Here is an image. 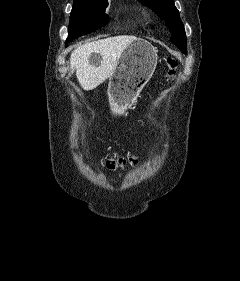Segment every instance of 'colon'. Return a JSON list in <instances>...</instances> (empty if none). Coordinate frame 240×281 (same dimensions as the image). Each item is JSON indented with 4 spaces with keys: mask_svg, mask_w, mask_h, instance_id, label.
Returning a JSON list of instances; mask_svg holds the SVG:
<instances>
[{
    "mask_svg": "<svg viewBox=\"0 0 240 281\" xmlns=\"http://www.w3.org/2000/svg\"><path fill=\"white\" fill-rule=\"evenodd\" d=\"M167 66H168L167 78L169 80H172L176 74L177 61L173 58H168ZM135 162H137V160L135 158L127 159L124 157L112 156V157L107 158L103 164L108 169H117L119 167L126 166L127 164H135Z\"/></svg>",
    "mask_w": 240,
    "mask_h": 281,
    "instance_id": "1",
    "label": "colon"
}]
</instances>
